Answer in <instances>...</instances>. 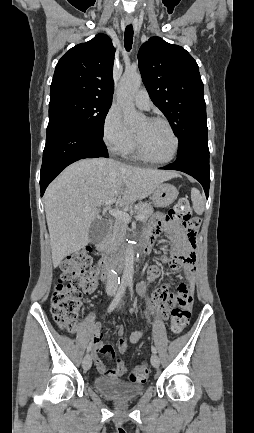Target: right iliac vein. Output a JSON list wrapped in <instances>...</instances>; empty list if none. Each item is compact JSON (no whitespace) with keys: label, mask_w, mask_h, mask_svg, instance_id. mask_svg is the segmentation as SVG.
<instances>
[{"label":"right iliac vein","mask_w":254,"mask_h":433,"mask_svg":"<svg viewBox=\"0 0 254 433\" xmlns=\"http://www.w3.org/2000/svg\"><path fill=\"white\" fill-rule=\"evenodd\" d=\"M91 365H92L91 356L87 354L83 359L82 366L84 370H89L91 368Z\"/></svg>","instance_id":"obj_1"}]
</instances>
